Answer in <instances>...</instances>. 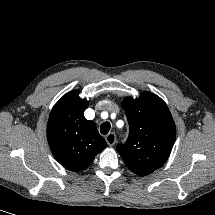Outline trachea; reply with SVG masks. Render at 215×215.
Returning a JSON list of instances; mask_svg holds the SVG:
<instances>
[{"instance_id": "3493384b", "label": "trachea", "mask_w": 215, "mask_h": 215, "mask_svg": "<svg viewBox=\"0 0 215 215\" xmlns=\"http://www.w3.org/2000/svg\"><path fill=\"white\" fill-rule=\"evenodd\" d=\"M110 128H111L110 123L109 122H104L100 126V131H101L102 134L106 135L109 132Z\"/></svg>"}]
</instances>
